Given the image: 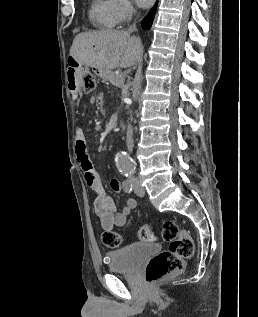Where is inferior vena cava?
<instances>
[{
	"label": "inferior vena cava",
	"mask_w": 258,
	"mask_h": 317,
	"mask_svg": "<svg viewBox=\"0 0 258 317\" xmlns=\"http://www.w3.org/2000/svg\"><path fill=\"white\" fill-rule=\"evenodd\" d=\"M134 30H137L136 24H131L130 28H128V32H134ZM126 142H127L128 150H130V152H132V148L134 146L133 128H132L131 124H129V122H128V126H127ZM130 175L132 178L134 177L132 173Z\"/></svg>",
	"instance_id": "1"
}]
</instances>
